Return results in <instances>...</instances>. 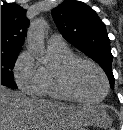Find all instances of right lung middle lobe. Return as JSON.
I'll return each instance as SVG.
<instances>
[{"instance_id": "1", "label": "right lung middle lobe", "mask_w": 123, "mask_h": 130, "mask_svg": "<svg viewBox=\"0 0 123 130\" xmlns=\"http://www.w3.org/2000/svg\"><path fill=\"white\" fill-rule=\"evenodd\" d=\"M19 52H1V85L16 89L12 69Z\"/></svg>"}]
</instances>
